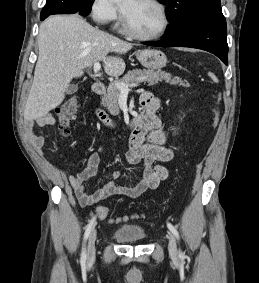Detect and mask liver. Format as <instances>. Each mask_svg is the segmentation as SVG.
Instances as JSON below:
<instances>
[{
    "label": "liver",
    "mask_w": 259,
    "mask_h": 283,
    "mask_svg": "<svg viewBox=\"0 0 259 283\" xmlns=\"http://www.w3.org/2000/svg\"><path fill=\"white\" fill-rule=\"evenodd\" d=\"M38 45L34 80L24 110L27 121L58 107L72 79L82 76L84 69L96 62H103L109 76H120L126 66L119 55L133 47L92 27L79 15L48 17L40 25Z\"/></svg>",
    "instance_id": "6515ba94"
}]
</instances>
